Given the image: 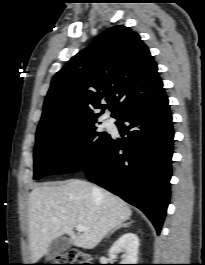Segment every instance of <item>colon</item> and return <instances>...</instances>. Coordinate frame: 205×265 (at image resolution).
Segmentation results:
<instances>
[{
  "label": "colon",
  "mask_w": 205,
  "mask_h": 265,
  "mask_svg": "<svg viewBox=\"0 0 205 265\" xmlns=\"http://www.w3.org/2000/svg\"><path fill=\"white\" fill-rule=\"evenodd\" d=\"M90 261L91 258L87 252L81 249H75L56 257L53 262L54 264L48 265H92L89 264Z\"/></svg>",
  "instance_id": "colon-1"
}]
</instances>
